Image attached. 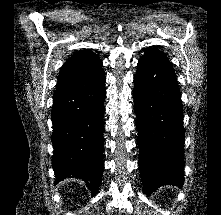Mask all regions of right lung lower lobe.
Listing matches in <instances>:
<instances>
[{"instance_id":"obj_1","label":"right lung lower lobe","mask_w":221,"mask_h":215,"mask_svg":"<svg viewBox=\"0 0 221 215\" xmlns=\"http://www.w3.org/2000/svg\"><path fill=\"white\" fill-rule=\"evenodd\" d=\"M105 95V74L100 69L92 76L57 88L51 112L52 167L57 182L73 175L84 180L93 195L103 173Z\"/></svg>"}]
</instances>
